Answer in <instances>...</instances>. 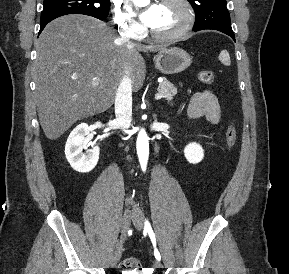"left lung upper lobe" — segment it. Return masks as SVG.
Listing matches in <instances>:
<instances>
[{"label": "left lung upper lobe", "mask_w": 289, "mask_h": 274, "mask_svg": "<svg viewBox=\"0 0 289 274\" xmlns=\"http://www.w3.org/2000/svg\"><path fill=\"white\" fill-rule=\"evenodd\" d=\"M195 10V31L203 29H232L226 0H188Z\"/></svg>", "instance_id": "1"}]
</instances>
